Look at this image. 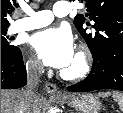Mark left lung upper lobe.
I'll return each instance as SVG.
<instances>
[{
	"label": "left lung upper lobe",
	"instance_id": "5c2ea615",
	"mask_svg": "<svg viewBox=\"0 0 123 113\" xmlns=\"http://www.w3.org/2000/svg\"><path fill=\"white\" fill-rule=\"evenodd\" d=\"M84 1L87 13L77 15L74 24L85 39L93 58L102 60L123 50V0ZM88 20L94 24L91 25ZM86 25L93 29L83 28Z\"/></svg>",
	"mask_w": 123,
	"mask_h": 113
}]
</instances>
